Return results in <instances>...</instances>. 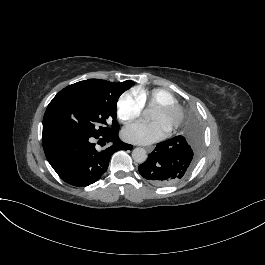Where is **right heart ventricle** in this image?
Returning <instances> with one entry per match:
<instances>
[{"mask_svg":"<svg viewBox=\"0 0 265 265\" xmlns=\"http://www.w3.org/2000/svg\"><path fill=\"white\" fill-rule=\"evenodd\" d=\"M136 95L141 99L144 106L155 108L164 102H176L175 97L167 90L156 88L151 91L136 90Z\"/></svg>","mask_w":265,"mask_h":265,"instance_id":"right-heart-ventricle-1","label":"right heart ventricle"}]
</instances>
